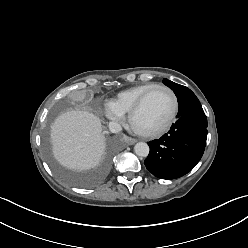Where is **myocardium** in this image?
<instances>
[{"mask_svg":"<svg viewBox=\"0 0 248 248\" xmlns=\"http://www.w3.org/2000/svg\"><path fill=\"white\" fill-rule=\"evenodd\" d=\"M157 89H163L170 94V96L172 98V102H173L171 115L168 118V120L160 128H158L154 131H151V132L140 131L137 128H135V126H134V123H133L134 118L137 115V113L141 110V108L143 107V105H144L146 99L149 97V95ZM178 109H179V103H178V99H177V96L174 93V91L165 85L157 84L154 87L147 90L146 92H144L140 96V98L137 100L135 105L132 107V109L130 110L129 115H128L129 125L135 133H137L138 135H140L142 137L158 138V137L162 136L163 134H165L172 127V125L174 124V122L176 120V117L178 114Z\"/></svg>","mask_w":248,"mask_h":248,"instance_id":"myocardium-1","label":"myocardium"}]
</instances>
